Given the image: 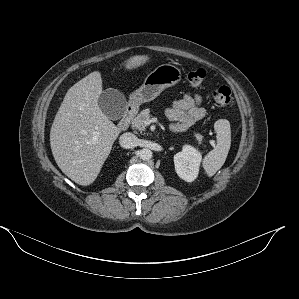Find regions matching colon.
<instances>
[{"label": "colon", "mask_w": 299, "mask_h": 299, "mask_svg": "<svg viewBox=\"0 0 299 299\" xmlns=\"http://www.w3.org/2000/svg\"><path fill=\"white\" fill-rule=\"evenodd\" d=\"M188 82L194 87H201L205 83L206 71L204 69H195L188 73ZM212 99L221 105H229L232 102V92L227 86H217L211 91Z\"/></svg>", "instance_id": "colon-1"}]
</instances>
